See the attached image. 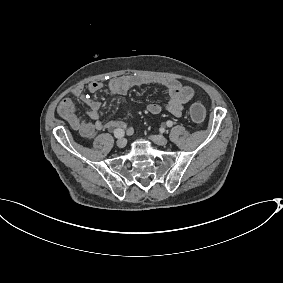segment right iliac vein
<instances>
[{"label":"right iliac vein","instance_id":"1","mask_svg":"<svg viewBox=\"0 0 283 283\" xmlns=\"http://www.w3.org/2000/svg\"><path fill=\"white\" fill-rule=\"evenodd\" d=\"M126 143H127V141L124 138H119L116 142V144L119 148H124L126 146Z\"/></svg>","mask_w":283,"mask_h":283}]
</instances>
